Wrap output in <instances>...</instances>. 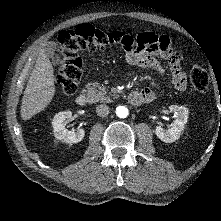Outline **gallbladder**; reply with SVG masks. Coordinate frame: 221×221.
Instances as JSON below:
<instances>
[{
	"label": "gallbladder",
	"instance_id": "1",
	"mask_svg": "<svg viewBox=\"0 0 221 221\" xmlns=\"http://www.w3.org/2000/svg\"><path fill=\"white\" fill-rule=\"evenodd\" d=\"M57 48H58V45L54 42H48L44 47L46 55L52 58L54 65H59L61 61L59 55L56 54Z\"/></svg>",
	"mask_w": 221,
	"mask_h": 221
}]
</instances>
